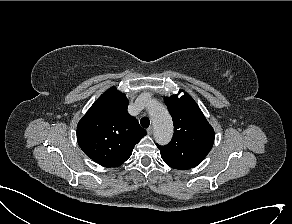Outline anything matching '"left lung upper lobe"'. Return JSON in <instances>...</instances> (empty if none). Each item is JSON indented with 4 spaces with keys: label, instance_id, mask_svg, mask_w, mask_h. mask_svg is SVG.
I'll use <instances>...</instances> for the list:
<instances>
[{
    "label": "left lung upper lobe",
    "instance_id": "left-lung-upper-lobe-1",
    "mask_svg": "<svg viewBox=\"0 0 292 224\" xmlns=\"http://www.w3.org/2000/svg\"><path fill=\"white\" fill-rule=\"evenodd\" d=\"M173 119L174 134L170 143L160 149L164 162L174 169L185 170L197 166L211 150L214 130L193 98L185 93L165 97Z\"/></svg>",
    "mask_w": 292,
    "mask_h": 224
}]
</instances>
